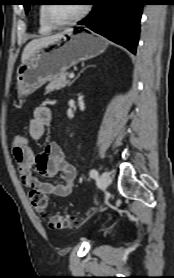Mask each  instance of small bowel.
I'll return each instance as SVG.
<instances>
[{
  "label": "small bowel",
  "instance_id": "c3829d8e",
  "mask_svg": "<svg viewBox=\"0 0 174 278\" xmlns=\"http://www.w3.org/2000/svg\"><path fill=\"white\" fill-rule=\"evenodd\" d=\"M51 119L52 113L48 107H36L29 122L30 137L35 141L40 140ZM13 154L21 181L31 191L38 190L46 195L60 198L67 197L72 193L77 171L72 164L66 161L59 144L51 142L40 153H36L30 143L21 148L13 146ZM35 171L46 177L60 174L62 182L56 184L41 181L35 176Z\"/></svg>",
  "mask_w": 174,
  "mask_h": 278
}]
</instances>
